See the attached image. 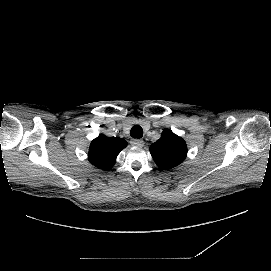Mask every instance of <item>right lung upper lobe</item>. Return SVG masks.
Listing matches in <instances>:
<instances>
[{"label": "right lung upper lobe", "instance_id": "1", "mask_svg": "<svg viewBox=\"0 0 271 271\" xmlns=\"http://www.w3.org/2000/svg\"><path fill=\"white\" fill-rule=\"evenodd\" d=\"M127 146L124 139L97 137L91 142L88 158L90 163L103 170H110L115 164L117 155Z\"/></svg>", "mask_w": 271, "mask_h": 271}]
</instances>
